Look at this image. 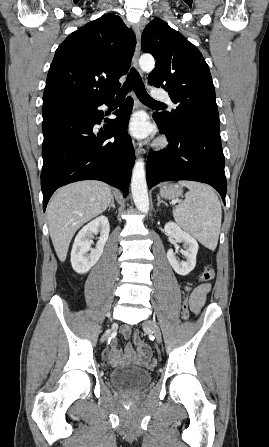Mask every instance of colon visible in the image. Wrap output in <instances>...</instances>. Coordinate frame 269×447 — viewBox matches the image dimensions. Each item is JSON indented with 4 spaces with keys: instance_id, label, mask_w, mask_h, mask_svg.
Instances as JSON below:
<instances>
[{
    "instance_id": "obj_1",
    "label": "colon",
    "mask_w": 269,
    "mask_h": 447,
    "mask_svg": "<svg viewBox=\"0 0 269 447\" xmlns=\"http://www.w3.org/2000/svg\"><path fill=\"white\" fill-rule=\"evenodd\" d=\"M215 278V268L212 265H206L201 273L200 280L202 283H210ZM180 307H182L183 320H187L189 313V302L187 300V297H184V299L180 300L179 302ZM145 354H150V350L148 348H145L143 351ZM155 360L151 358H147V360L144 362V365L149 368L153 369L155 367Z\"/></svg>"
}]
</instances>
